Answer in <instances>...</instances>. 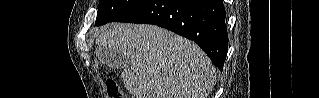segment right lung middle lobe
Listing matches in <instances>:
<instances>
[{
  "instance_id": "dd1d6c3e",
  "label": "right lung middle lobe",
  "mask_w": 319,
  "mask_h": 98,
  "mask_svg": "<svg viewBox=\"0 0 319 98\" xmlns=\"http://www.w3.org/2000/svg\"><path fill=\"white\" fill-rule=\"evenodd\" d=\"M147 0H99L95 24L97 26L114 21L131 12Z\"/></svg>"
}]
</instances>
